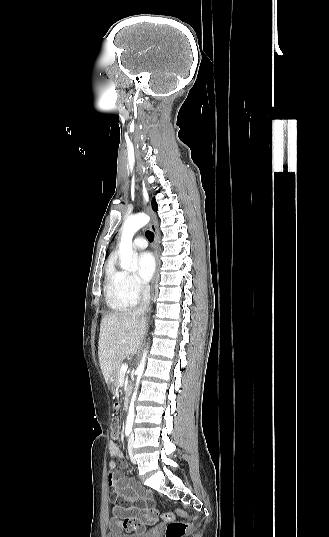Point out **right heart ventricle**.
I'll use <instances>...</instances> for the list:
<instances>
[{"mask_svg": "<svg viewBox=\"0 0 329 537\" xmlns=\"http://www.w3.org/2000/svg\"><path fill=\"white\" fill-rule=\"evenodd\" d=\"M121 274L111 265L106 271L104 292L106 302L113 311H123L135 305L136 302L128 298L120 285Z\"/></svg>", "mask_w": 329, "mask_h": 537, "instance_id": "e07e8e85", "label": "right heart ventricle"}]
</instances>
